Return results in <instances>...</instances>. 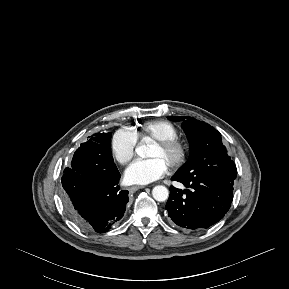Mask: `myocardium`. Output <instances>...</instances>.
<instances>
[{"label":"myocardium","mask_w":289,"mask_h":289,"mask_svg":"<svg viewBox=\"0 0 289 289\" xmlns=\"http://www.w3.org/2000/svg\"><path fill=\"white\" fill-rule=\"evenodd\" d=\"M152 145L156 146L160 150L173 151L175 153L173 162L167 167L169 171H176L185 164L188 157V147L181 139L171 138L154 141Z\"/></svg>","instance_id":"obj_1"}]
</instances>
